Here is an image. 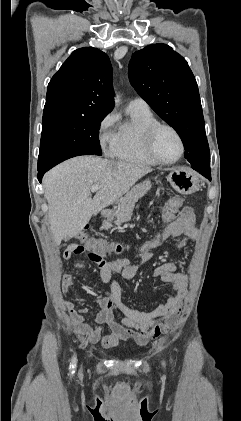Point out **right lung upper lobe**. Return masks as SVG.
<instances>
[{
  "mask_svg": "<svg viewBox=\"0 0 241 421\" xmlns=\"http://www.w3.org/2000/svg\"><path fill=\"white\" fill-rule=\"evenodd\" d=\"M114 107L112 66L93 47L75 50L48 84L44 113L108 114Z\"/></svg>",
  "mask_w": 241,
  "mask_h": 421,
  "instance_id": "right-lung-upper-lobe-1",
  "label": "right lung upper lobe"
}]
</instances>
